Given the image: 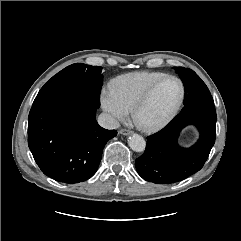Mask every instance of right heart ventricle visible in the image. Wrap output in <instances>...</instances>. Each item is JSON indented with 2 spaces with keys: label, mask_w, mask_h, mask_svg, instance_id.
Wrapping results in <instances>:
<instances>
[{
  "label": "right heart ventricle",
  "mask_w": 241,
  "mask_h": 241,
  "mask_svg": "<svg viewBox=\"0 0 241 241\" xmlns=\"http://www.w3.org/2000/svg\"><path fill=\"white\" fill-rule=\"evenodd\" d=\"M165 75L163 72L151 71L127 73L113 79L110 89L129 111L145 90Z\"/></svg>",
  "instance_id": "obj_1"
}]
</instances>
